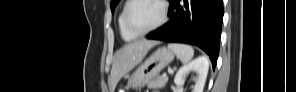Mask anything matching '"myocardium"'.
Instances as JSON below:
<instances>
[{
	"mask_svg": "<svg viewBox=\"0 0 296 92\" xmlns=\"http://www.w3.org/2000/svg\"><path fill=\"white\" fill-rule=\"evenodd\" d=\"M138 1H142V0H131L128 2L126 8H125V11H124V24H125V27L127 28V30L133 34L134 36H144L156 29H158L160 26H162L164 24V22L166 21L167 19V5L164 1L162 0H153L155 2H157L159 5H160V8H161V16H160V19L150 28L146 29V30H143V31H138L136 29H134L132 27V25L130 24V20H129V12L132 8V6L138 2Z\"/></svg>",
	"mask_w": 296,
	"mask_h": 92,
	"instance_id": "1",
	"label": "myocardium"
}]
</instances>
